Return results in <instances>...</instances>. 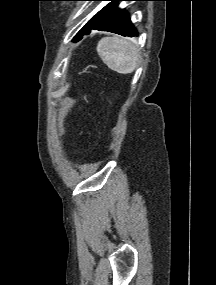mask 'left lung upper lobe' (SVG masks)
<instances>
[{"mask_svg":"<svg viewBox=\"0 0 216 285\" xmlns=\"http://www.w3.org/2000/svg\"><path fill=\"white\" fill-rule=\"evenodd\" d=\"M92 1H104V0H92ZM107 1H111V3H109L101 11H99L96 15H94L79 32L91 26L98 17H100L106 10H108L111 6H113L118 0H107Z\"/></svg>","mask_w":216,"mask_h":285,"instance_id":"5c2ea615","label":"left lung upper lobe"}]
</instances>
